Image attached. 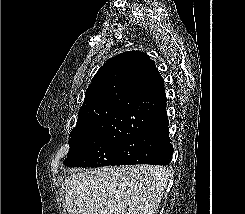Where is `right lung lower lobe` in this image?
<instances>
[{
	"mask_svg": "<svg viewBox=\"0 0 245 214\" xmlns=\"http://www.w3.org/2000/svg\"><path fill=\"white\" fill-rule=\"evenodd\" d=\"M139 105L136 122L127 127V138L117 147V165H168L174 149L169 138L164 87L156 94L141 97Z\"/></svg>",
	"mask_w": 245,
	"mask_h": 214,
	"instance_id": "right-lung-lower-lobe-1",
	"label": "right lung lower lobe"
}]
</instances>
